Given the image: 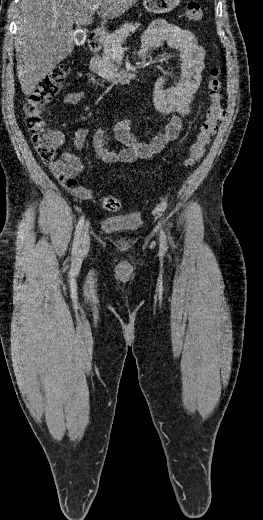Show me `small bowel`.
Returning a JSON list of instances; mask_svg holds the SVG:
<instances>
[{
  "mask_svg": "<svg viewBox=\"0 0 263 520\" xmlns=\"http://www.w3.org/2000/svg\"><path fill=\"white\" fill-rule=\"evenodd\" d=\"M164 46L179 52L182 58L179 78L172 84H168V77L160 76L153 87V103L157 111L166 117L165 126L155 135H151L131 119L119 121L113 128V135L123 145L120 150L109 147L111 135L107 131L97 130L93 135L92 143L96 156L103 164L150 160L179 137L183 127L182 117L191 111L200 86L205 51L191 31L164 20H156L142 35L140 54L145 56ZM83 97L82 91L70 92L65 95L64 103L77 105ZM135 132L149 137V141H138ZM87 135V128L79 127L73 136L71 147L63 151L60 159L48 164L53 177L78 200L92 198V189L79 184L83 166L76 154L84 146ZM53 137L59 145L63 144V133L56 131Z\"/></svg>",
  "mask_w": 263,
  "mask_h": 520,
  "instance_id": "obj_1",
  "label": "small bowel"
}]
</instances>
